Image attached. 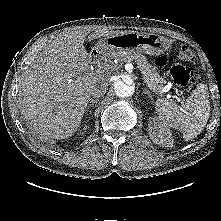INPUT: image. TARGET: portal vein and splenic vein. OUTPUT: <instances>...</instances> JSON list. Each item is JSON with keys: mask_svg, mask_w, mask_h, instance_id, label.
I'll return each mask as SVG.
<instances>
[{"mask_svg": "<svg viewBox=\"0 0 221 221\" xmlns=\"http://www.w3.org/2000/svg\"><path fill=\"white\" fill-rule=\"evenodd\" d=\"M170 89H171V86L167 85V86L163 87L160 92L165 93V92H168Z\"/></svg>", "mask_w": 221, "mask_h": 221, "instance_id": "1", "label": "portal vein and splenic vein"}]
</instances>
